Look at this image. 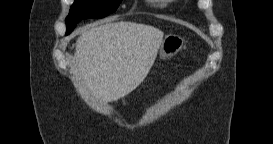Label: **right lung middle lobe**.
<instances>
[{
    "label": "right lung middle lobe",
    "mask_w": 273,
    "mask_h": 144,
    "mask_svg": "<svg viewBox=\"0 0 273 144\" xmlns=\"http://www.w3.org/2000/svg\"><path fill=\"white\" fill-rule=\"evenodd\" d=\"M120 2L121 0H75L66 18V34L82 19L102 18L113 13Z\"/></svg>",
    "instance_id": "1"
}]
</instances>
